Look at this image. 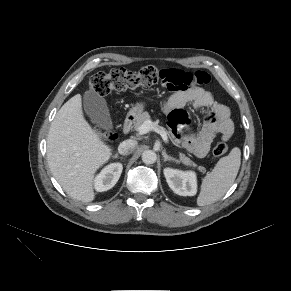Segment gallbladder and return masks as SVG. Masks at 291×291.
I'll return each mask as SVG.
<instances>
[{
  "mask_svg": "<svg viewBox=\"0 0 291 291\" xmlns=\"http://www.w3.org/2000/svg\"><path fill=\"white\" fill-rule=\"evenodd\" d=\"M83 108L91 123L105 130H111L113 123L105 99L94 91H88L83 98Z\"/></svg>",
  "mask_w": 291,
  "mask_h": 291,
  "instance_id": "bac80fb5",
  "label": "gallbladder"
}]
</instances>
